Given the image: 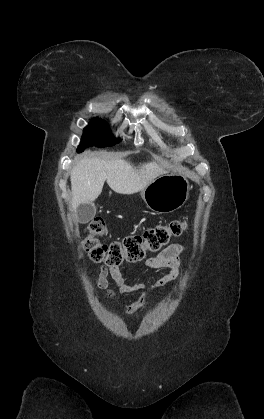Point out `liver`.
Wrapping results in <instances>:
<instances>
[{
    "instance_id": "1",
    "label": "liver",
    "mask_w": 264,
    "mask_h": 419,
    "mask_svg": "<svg viewBox=\"0 0 264 419\" xmlns=\"http://www.w3.org/2000/svg\"><path fill=\"white\" fill-rule=\"evenodd\" d=\"M165 173L154 161L136 167L124 159L105 161L84 156L70 174L73 210L95 201L105 181L114 192L129 195L143 190Z\"/></svg>"
}]
</instances>
